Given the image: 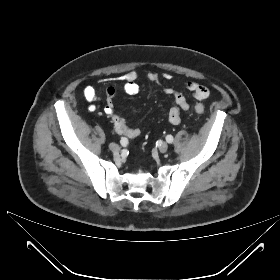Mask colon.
<instances>
[{
	"label": "colon",
	"mask_w": 280,
	"mask_h": 280,
	"mask_svg": "<svg viewBox=\"0 0 280 280\" xmlns=\"http://www.w3.org/2000/svg\"><path fill=\"white\" fill-rule=\"evenodd\" d=\"M204 110H205L204 106H203V105H200V104H197V105H195V107H194V111H195L196 113H198V114L203 113Z\"/></svg>",
	"instance_id": "1"
}]
</instances>
